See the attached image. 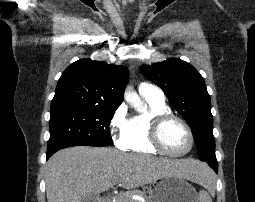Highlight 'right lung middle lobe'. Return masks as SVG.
Listing matches in <instances>:
<instances>
[{
	"mask_svg": "<svg viewBox=\"0 0 255 202\" xmlns=\"http://www.w3.org/2000/svg\"><path fill=\"white\" fill-rule=\"evenodd\" d=\"M116 109L87 107L51 114L47 152L77 145L108 146L109 124Z\"/></svg>",
	"mask_w": 255,
	"mask_h": 202,
	"instance_id": "1",
	"label": "right lung middle lobe"
}]
</instances>
